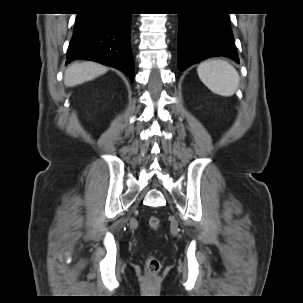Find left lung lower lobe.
Wrapping results in <instances>:
<instances>
[{
	"label": "left lung lower lobe",
	"instance_id": "0a47b994",
	"mask_svg": "<svg viewBox=\"0 0 303 303\" xmlns=\"http://www.w3.org/2000/svg\"><path fill=\"white\" fill-rule=\"evenodd\" d=\"M177 51L179 70L214 56L239 63L226 13L178 14Z\"/></svg>",
	"mask_w": 303,
	"mask_h": 303
}]
</instances>
